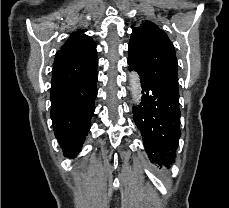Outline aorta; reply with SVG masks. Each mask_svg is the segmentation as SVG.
Masks as SVG:
<instances>
[{
	"mask_svg": "<svg viewBox=\"0 0 229 208\" xmlns=\"http://www.w3.org/2000/svg\"><path fill=\"white\" fill-rule=\"evenodd\" d=\"M130 91L132 95L133 102L138 106L141 102V83L137 72L133 71L129 76Z\"/></svg>",
	"mask_w": 229,
	"mask_h": 208,
	"instance_id": "obj_1",
	"label": "aorta"
}]
</instances>
